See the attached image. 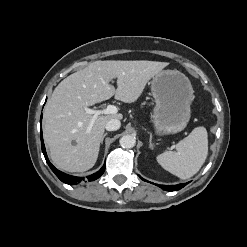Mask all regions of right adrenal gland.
Listing matches in <instances>:
<instances>
[{"label": "right adrenal gland", "instance_id": "1", "mask_svg": "<svg viewBox=\"0 0 247 247\" xmlns=\"http://www.w3.org/2000/svg\"><path fill=\"white\" fill-rule=\"evenodd\" d=\"M107 136V133H105L104 135H103V137H102V139H101V144H103V140H104V138Z\"/></svg>", "mask_w": 247, "mask_h": 247}]
</instances>
